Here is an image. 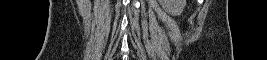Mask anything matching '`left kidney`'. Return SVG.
<instances>
[{"label":"left kidney","mask_w":267,"mask_h":60,"mask_svg":"<svg viewBox=\"0 0 267 60\" xmlns=\"http://www.w3.org/2000/svg\"><path fill=\"white\" fill-rule=\"evenodd\" d=\"M162 8L173 16H179L186 6V0H158Z\"/></svg>","instance_id":"5707ae66"}]
</instances>
